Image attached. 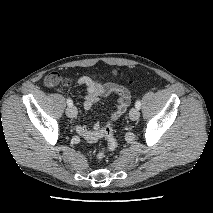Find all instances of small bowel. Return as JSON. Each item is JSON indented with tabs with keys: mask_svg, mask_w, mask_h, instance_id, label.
Returning a JSON list of instances; mask_svg holds the SVG:
<instances>
[{
	"mask_svg": "<svg viewBox=\"0 0 213 213\" xmlns=\"http://www.w3.org/2000/svg\"><path fill=\"white\" fill-rule=\"evenodd\" d=\"M53 77L55 78V80H52ZM60 80L61 78L59 74L53 72L45 78L44 83L46 87L50 88L56 86L60 82ZM77 84L79 86L86 87V93L83 102V108L86 111L90 110L93 105L98 102L100 96H109L111 94H117L120 96V99L118 100L117 108L112 116V118L116 120L121 116L125 107L130 103L129 92L127 95H124L122 92L127 90L118 84H102L98 81L93 80L89 76H81L77 80ZM102 129L103 128H101L99 125H95L92 128H88L87 126L82 124H78L76 126L77 133L89 142H95L101 137H103Z\"/></svg>",
	"mask_w": 213,
	"mask_h": 213,
	"instance_id": "small-bowel-1",
	"label": "small bowel"
}]
</instances>
